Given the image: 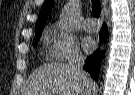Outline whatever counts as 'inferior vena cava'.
<instances>
[{
	"label": "inferior vena cava",
	"mask_w": 135,
	"mask_h": 95,
	"mask_svg": "<svg viewBox=\"0 0 135 95\" xmlns=\"http://www.w3.org/2000/svg\"><path fill=\"white\" fill-rule=\"evenodd\" d=\"M84 62V57L79 53H75L74 57L69 62V66L71 67L73 72L81 77L83 84L88 87L89 76L83 69ZM84 95H90L89 91H87Z\"/></svg>",
	"instance_id": "602c4592"
}]
</instances>
